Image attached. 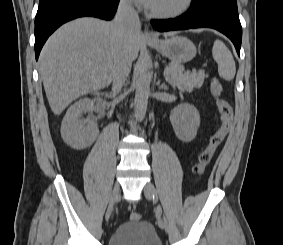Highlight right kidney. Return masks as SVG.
Wrapping results in <instances>:
<instances>
[{"label":"right kidney","mask_w":283,"mask_h":245,"mask_svg":"<svg viewBox=\"0 0 283 245\" xmlns=\"http://www.w3.org/2000/svg\"><path fill=\"white\" fill-rule=\"evenodd\" d=\"M100 97L89 99L83 98L75 102L67 110L61 124V136L63 140L74 149L89 147L99 134L96 124L90 119L81 120V114L93 110V104L102 105Z\"/></svg>","instance_id":"right-kidney-1"}]
</instances>
